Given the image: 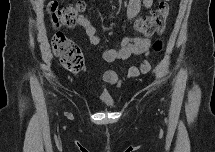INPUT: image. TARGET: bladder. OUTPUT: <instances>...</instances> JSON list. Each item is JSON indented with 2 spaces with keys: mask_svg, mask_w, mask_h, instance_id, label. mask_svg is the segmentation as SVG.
<instances>
[{
  "mask_svg": "<svg viewBox=\"0 0 215 152\" xmlns=\"http://www.w3.org/2000/svg\"><path fill=\"white\" fill-rule=\"evenodd\" d=\"M101 102L107 107H113L114 106V101L110 97H103L101 99Z\"/></svg>",
  "mask_w": 215,
  "mask_h": 152,
  "instance_id": "1",
  "label": "bladder"
}]
</instances>
